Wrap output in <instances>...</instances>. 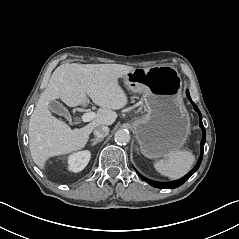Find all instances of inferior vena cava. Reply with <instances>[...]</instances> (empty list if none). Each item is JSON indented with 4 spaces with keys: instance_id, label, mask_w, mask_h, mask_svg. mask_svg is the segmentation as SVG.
<instances>
[{
    "instance_id": "1",
    "label": "inferior vena cava",
    "mask_w": 239,
    "mask_h": 239,
    "mask_svg": "<svg viewBox=\"0 0 239 239\" xmlns=\"http://www.w3.org/2000/svg\"><path fill=\"white\" fill-rule=\"evenodd\" d=\"M93 133L98 138H104V137L108 136V134H109V127L104 126V125L97 126L94 129Z\"/></svg>"
}]
</instances>
